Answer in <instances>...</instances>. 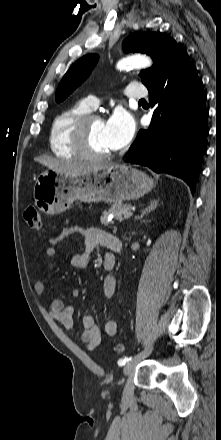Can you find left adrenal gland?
<instances>
[{
    "label": "left adrenal gland",
    "instance_id": "1",
    "mask_svg": "<svg viewBox=\"0 0 221 440\" xmlns=\"http://www.w3.org/2000/svg\"><path fill=\"white\" fill-rule=\"evenodd\" d=\"M159 200L153 199L150 200L149 205L142 211L141 215L137 217V219L143 220V217L150 213L151 211L155 210L158 206Z\"/></svg>",
    "mask_w": 221,
    "mask_h": 440
}]
</instances>
